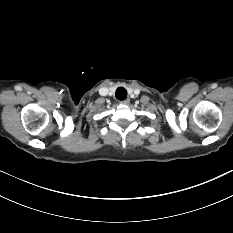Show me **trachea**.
Instances as JSON below:
<instances>
[{
	"mask_svg": "<svg viewBox=\"0 0 233 233\" xmlns=\"http://www.w3.org/2000/svg\"><path fill=\"white\" fill-rule=\"evenodd\" d=\"M115 96L118 100H125L127 98V91L124 87H119L116 90Z\"/></svg>",
	"mask_w": 233,
	"mask_h": 233,
	"instance_id": "1",
	"label": "trachea"
}]
</instances>
